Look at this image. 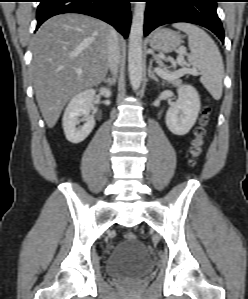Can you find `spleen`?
I'll return each instance as SVG.
<instances>
[{
	"label": "spleen",
	"mask_w": 248,
	"mask_h": 299,
	"mask_svg": "<svg viewBox=\"0 0 248 299\" xmlns=\"http://www.w3.org/2000/svg\"><path fill=\"white\" fill-rule=\"evenodd\" d=\"M173 27L188 36V62L201 73L200 82L215 100L222 96L224 65L213 39L201 28L190 23H175Z\"/></svg>",
	"instance_id": "obj_1"
}]
</instances>
